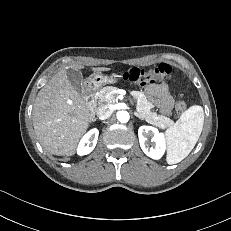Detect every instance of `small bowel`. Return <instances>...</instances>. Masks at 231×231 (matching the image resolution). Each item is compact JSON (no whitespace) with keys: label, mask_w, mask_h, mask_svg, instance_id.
I'll return each instance as SVG.
<instances>
[{"label":"small bowel","mask_w":231,"mask_h":231,"mask_svg":"<svg viewBox=\"0 0 231 231\" xmlns=\"http://www.w3.org/2000/svg\"><path fill=\"white\" fill-rule=\"evenodd\" d=\"M145 93L151 98L154 104L164 114H170L173 108L174 99L169 91L167 83H152L147 85Z\"/></svg>","instance_id":"1"}]
</instances>
